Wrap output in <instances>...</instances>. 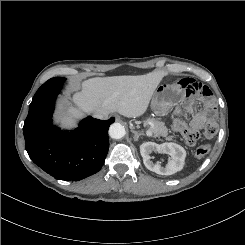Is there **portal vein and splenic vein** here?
I'll return each mask as SVG.
<instances>
[{
  "instance_id": "portal-vein-and-splenic-vein-1",
  "label": "portal vein and splenic vein",
  "mask_w": 245,
  "mask_h": 245,
  "mask_svg": "<svg viewBox=\"0 0 245 245\" xmlns=\"http://www.w3.org/2000/svg\"><path fill=\"white\" fill-rule=\"evenodd\" d=\"M146 134H147V136H149V137H151V136L153 135L150 129L146 130Z\"/></svg>"
}]
</instances>
